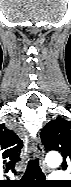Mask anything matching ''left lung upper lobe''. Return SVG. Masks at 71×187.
<instances>
[{"instance_id": "5c2ea615", "label": "left lung upper lobe", "mask_w": 71, "mask_h": 187, "mask_svg": "<svg viewBox=\"0 0 71 187\" xmlns=\"http://www.w3.org/2000/svg\"><path fill=\"white\" fill-rule=\"evenodd\" d=\"M41 140L47 150L63 155L64 170L71 167V122L63 118L51 120L41 131Z\"/></svg>"}]
</instances>
